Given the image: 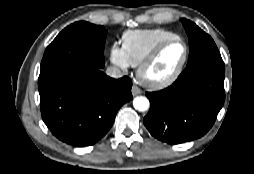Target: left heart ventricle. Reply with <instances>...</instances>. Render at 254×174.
<instances>
[{
  "label": "left heart ventricle",
  "instance_id": "1",
  "mask_svg": "<svg viewBox=\"0 0 254 174\" xmlns=\"http://www.w3.org/2000/svg\"><path fill=\"white\" fill-rule=\"evenodd\" d=\"M183 56L184 46L181 42H174L168 45L148 69L147 76L153 79H162L169 76L179 66Z\"/></svg>",
  "mask_w": 254,
  "mask_h": 174
}]
</instances>
